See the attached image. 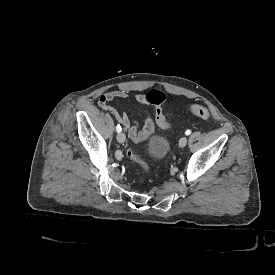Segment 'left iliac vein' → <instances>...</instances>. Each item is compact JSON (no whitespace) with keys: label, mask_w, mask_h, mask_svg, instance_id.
I'll list each match as a JSON object with an SVG mask.
<instances>
[{"label":"left iliac vein","mask_w":275,"mask_h":275,"mask_svg":"<svg viewBox=\"0 0 275 275\" xmlns=\"http://www.w3.org/2000/svg\"><path fill=\"white\" fill-rule=\"evenodd\" d=\"M188 139L187 137H182L179 140V147L184 148L187 145Z\"/></svg>","instance_id":"left-iliac-vein-1"}]
</instances>
